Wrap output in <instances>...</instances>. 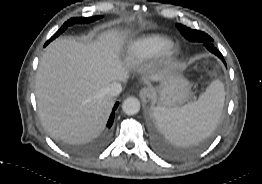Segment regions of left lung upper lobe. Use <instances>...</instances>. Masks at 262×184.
Returning a JSON list of instances; mask_svg holds the SVG:
<instances>
[{"instance_id": "1", "label": "left lung upper lobe", "mask_w": 262, "mask_h": 184, "mask_svg": "<svg viewBox=\"0 0 262 184\" xmlns=\"http://www.w3.org/2000/svg\"><path fill=\"white\" fill-rule=\"evenodd\" d=\"M176 27L179 29L181 34L190 41L203 42V43L213 41L209 35L199 30H193L181 24H176Z\"/></svg>"}]
</instances>
